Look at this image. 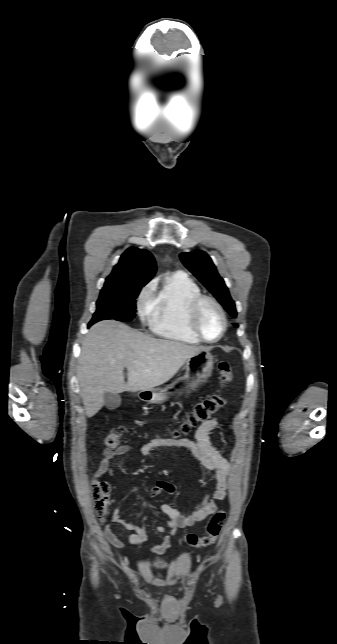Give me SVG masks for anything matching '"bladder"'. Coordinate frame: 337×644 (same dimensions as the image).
Listing matches in <instances>:
<instances>
[{"label":"bladder","instance_id":"1","mask_svg":"<svg viewBox=\"0 0 337 644\" xmlns=\"http://www.w3.org/2000/svg\"><path fill=\"white\" fill-rule=\"evenodd\" d=\"M165 566H166V565H165V563H164V562H155V563H153V564H152V567H153V568H156V569H162V568H164Z\"/></svg>","mask_w":337,"mask_h":644}]
</instances>
